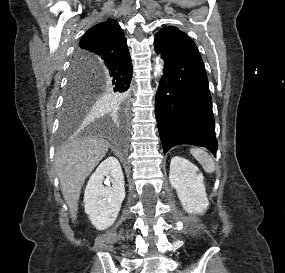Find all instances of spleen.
Instances as JSON below:
<instances>
[{"label": "spleen", "mask_w": 285, "mask_h": 273, "mask_svg": "<svg viewBox=\"0 0 285 273\" xmlns=\"http://www.w3.org/2000/svg\"><path fill=\"white\" fill-rule=\"evenodd\" d=\"M190 152L206 172L213 173L215 171L214 161L207 152L200 148H192Z\"/></svg>", "instance_id": "1"}]
</instances>
